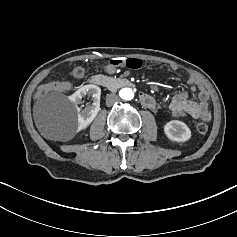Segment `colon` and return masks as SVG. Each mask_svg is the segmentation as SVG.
Listing matches in <instances>:
<instances>
[{"label":"colon","mask_w":237,"mask_h":237,"mask_svg":"<svg viewBox=\"0 0 237 237\" xmlns=\"http://www.w3.org/2000/svg\"><path fill=\"white\" fill-rule=\"evenodd\" d=\"M109 64L115 67H126L131 70H139L142 68V65H143L142 61L136 58H128L126 60L114 59V60H110ZM73 74L75 77H81L84 75V70L81 67H76L73 71ZM50 91H51V87L49 84L41 85L38 88L37 96L43 97ZM196 129L198 133L206 134L208 131V125L204 122H201L197 124Z\"/></svg>","instance_id":"1"}]
</instances>
